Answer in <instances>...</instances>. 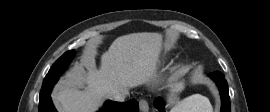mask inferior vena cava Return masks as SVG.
<instances>
[{"label": "inferior vena cava", "mask_w": 270, "mask_h": 112, "mask_svg": "<svg viewBox=\"0 0 270 112\" xmlns=\"http://www.w3.org/2000/svg\"><path fill=\"white\" fill-rule=\"evenodd\" d=\"M128 94L129 92L127 90H124L113 93L110 98L114 101L123 102Z\"/></svg>", "instance_id": "inferior-vena-cava-1"}]
</instances>
